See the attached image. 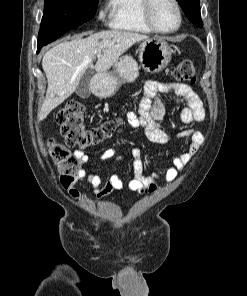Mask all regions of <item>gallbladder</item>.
Segmentation results:
<instances>
[{
    "mask_svg": "<svg viewBox=\"0 0 247 296\" xmlns=\"http://www.w3.org/2000/svg\"><path fill=\"white\" fill-rule=\"evenodd\" d=\"M91 81H92V70H87L81 77L77 87L76 94L82 98L86 99L91 94Z\"/></svg>",
    "mask_w": 247,
    "mask_h": 296,
    "instance_id": "bac80fb5",
    "label": "gallbladder"
}]
</instances>
